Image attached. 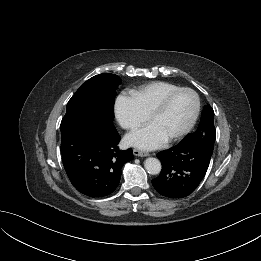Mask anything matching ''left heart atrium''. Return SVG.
<instances>
[{
	"label": "left heart atrium",
	"instance_id": "obj_1",
	"mask_svg": "<svg viewBox=\"0 0 261 261\" xmlns=\"http://www.w3.org/2000/svg\"><path fill=\"white\" fill-rule=\"evenodd\" d=\"M166 140V135L153 123L148 124L126 137V142L129 145L143 150L156 149L162 146Z\"/></svg>",
	"mask_w": 261,
	"mask_h": 261
}]
</instances>
